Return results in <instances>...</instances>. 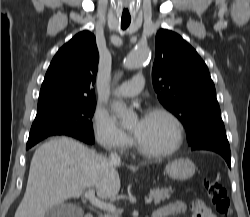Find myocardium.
Returning <instances> with one entry per match:
<instances>
[{"label": "myocardium", "mask_w": 250, "mask_h": 217, "mask_svg": "<svg viewBox=\"0 0 250 217\" xmlns=\"http://www.w3.org/2000/svg\"><path fill=\"white\" fill-rule=\"evenodd\" d=\"M158 114L167 118L174 128V141L168 148L161 151H151L142 147L137 140H135L136 149L139 153L150 158H164L175 153L183 143L184 127L179 118L169 109L163 106H154L148 110L147 115Z\"/></svg>", "instance_id": "obj_1"}]
</instances>
